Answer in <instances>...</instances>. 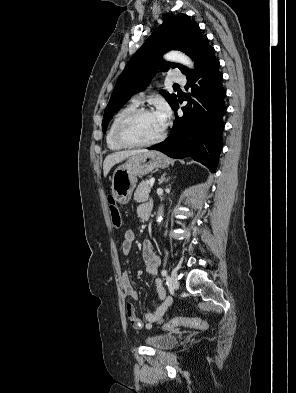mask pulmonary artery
<instances>
[{"mask_svg":"<svg viewBox=\"0 0 296 393\" xmlns=\"http://www.w3.org/2000/svg\"><path fill=\"white\" fill-rule=\"evenodd\" d=\"M170 80L172 82L179 83V84H185L186 83V78L183 75H181V74H179L177 72H173L171 74ZM143 97H144V93L141 92V93H139V94H137V95H135L133 97L132 102L135 103V104H139V103L142 102Z\"/></svg>","mask_w":296,"mask_h":393,"instance_id":"e3ab8cb5","label":"pulmonary artery"}]
</instances>
